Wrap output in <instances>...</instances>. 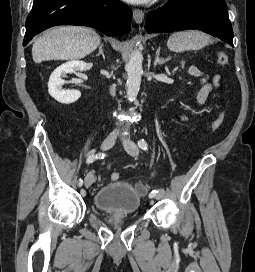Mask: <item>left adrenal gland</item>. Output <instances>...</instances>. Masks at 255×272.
Listing matches in <instances>:
<instances>
[{
  "instance_id": "a2214340",
  "label": "left adrenal gland",
  "mask_w": 255,
  "mask_h": 272,
  "mask_svg": "<svg viewBox=\"0 0 255 272\" xmlns=\"http://www.w3.org/2000/svg\"><path fill=\"white\" fill-rule=\"evenodd\" d=\"M160 52H161V47H159L156 51L155 54V60H154V67H156L157 65H162L165 64L166 62H168L170 60V56L167 58H160Z\"/></svg>"
}]
</instances>
